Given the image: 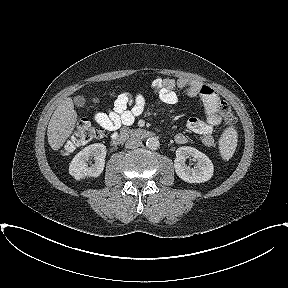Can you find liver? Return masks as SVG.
<instances>
[{
	"instance_id": "6515ba94",
	"label": "liver",
	"mask_w": 288,
	"mask_h": 288,
	"mask_svg": "<svg viewBox=\"0 0 288 288\" xmlns=\"http://www.w3.org/2000/svg\"><path fill=\"white\" fill-rule=\"evenodd\" d=\"M77 122V113L74 110L73 100L68 97L62 100L54 111L47 130L48 143L57 151L73 132Z\"/></svg>"
}]
</instances>
